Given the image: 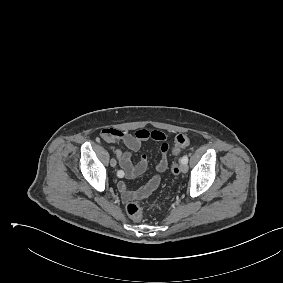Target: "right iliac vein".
<instances>
[{
    "label": "right iliac vein",
    "mask_w": 283,
    "mask_h": 283,
    "mask_svg": "<svg viewBox=\"0 0 283 283\" xmlns=\"http://www.w3.org/2000/svg\"><path fill=\"white\" fill-rule=\"evenodd\" d=\"M110 165H111L112 167H115V166H116V160H115L114 158L111 159Z\"/></svg>",
    "instance_id": "63e3f726"
}]
</instances>
